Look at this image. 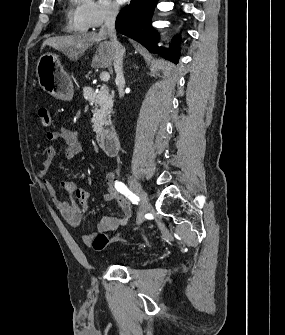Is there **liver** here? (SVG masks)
Instances as JSON below:
<instances>
[{"instance_id": "1", "label": "liver", "mask_w": 285, "mask_h": 335, "mask_svg": "<svg viewBox=\"0 0 285 335\" xmlns=\"http://www.w3.org/2000/svg\"><path fill=\"white\" fill-rule=\"evenodd\" d=\"M107 36L89 32V34H74V36H58V38H48L45 40L44 46H51L58 52H63L70 60H78L85 50L91 48L93 44H98L97 54L92 60V66L98 68H108V72L112 74V62L115 56V50L112 48L111 42H102Z\"/></svg>"}]
</instances>
